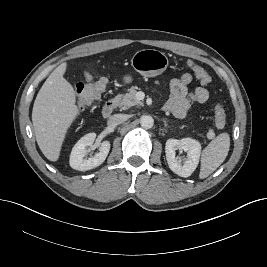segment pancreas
<instances>
[{"instance_id":"cf45deb5","label":"pancreas","mask_w":267,"mask_h":267,"mask_svg":"<svg viewBox=\"0 0 267 267\" xmlns=\"http://www.w3.org/2000/svg\"><path fill=\"white\" fill-rule=\"evenodd\" d=\"M136 88L132 87L126 94H119L115 96V102L120 107L121 110H126L134 105H141L142 102L136 99Z\"/></svg>"}]
</instances>
